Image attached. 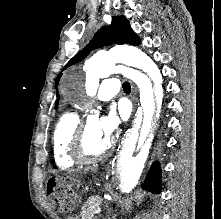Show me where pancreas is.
<instances>
[{"instance_id":"cf45deb5","label":"pancreas","mask_w":221,"mask_h":219,"mask_svg":"<svg viewBox=\"0 0 221 219\" xmlns=\"http://www.w3.org/2000/svg\"><path fill=\"white\" fill-rule=\"evenodd\" d=\"M101 198H89L81 208L82 219H93L96 210L100 208Z\"/></svg>"}]
</instances>
